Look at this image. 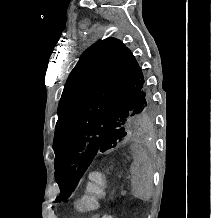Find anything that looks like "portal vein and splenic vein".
Listing matches in <instances>:
<instances>
[{
    "label": "portal vein and splenic vein",
    "instance_id": "obj_1",
    "mask_svg": "<svg viewBox=\"0 0 211 218\" xmlns=\"http://www.w3.org/2000/svg\"><path fill=\"white\" fill-rule=\"evenodd\" d=\"M125 174H126V175H127V174H130V171H127Z\"/></svg>",
    "mask_w": 211,
    "mask_h": 218
}]
</instances>
